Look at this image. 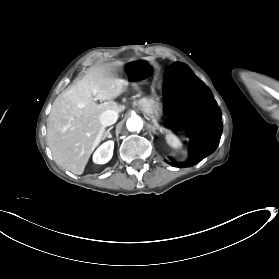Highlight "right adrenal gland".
<instances>
[{
  "label": "right adrenal gland",
  "mask_w": 279,
  "mask_h": 279,
  "mask_svg": "<svg viewBox=\"0 0 279 279\" xmlns=\"http://www.w3.org/2000/svg\"><path fill=\"white\" fill-rule=\"evenodd\" d=\"M113 128H114V126H111V127L107 130V132L105 133L104 137L111 138L112 135L110 134V130H112Z\"/></svg>",
  "instance_id": "1"
}]
</instances>
